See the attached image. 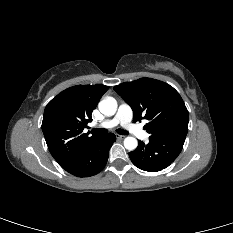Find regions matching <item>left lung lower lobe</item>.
Here are the masks:
<instances>
[{
  "label": "left lung lower lobe",
  "instance_id": "left-lung-lower-lobe-1",
  "mask_svg": "<svg viewBox=\"0 0 233 233\" xmlns=\"http://www.w3.org/2000/svg\"><path fill=\"white\" fill-rule=\"evenodd\" d=\"M183 139H149L145 144L139 141L138 147L129 153L133 164L141 170L149 172L161 171L168 167L182 150Z\"/></svg>",
  "mask_w": 233,
  "mask_h": 233
}]
</instances>
